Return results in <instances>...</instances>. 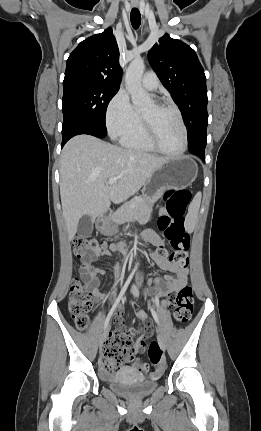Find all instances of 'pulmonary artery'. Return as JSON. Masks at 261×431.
<instances>
[{
    "instance_id": "pulmonary-artery-1",
    "label": "pulmonary artery",
    "mask_w": 261,
    "mask_h": 431,
    "mask_svg": "<svg viewBox=\"0 0 261 431\" xmlns=\"http://www.w3.org/2000/svg\"><path fill=\"white\" fill-rule=\"evenodd\" d=\"M142 85L147 90H155L159 85V81L156 74L154 72H146L142 78Z\"/></svg>"
}]
</instances>
